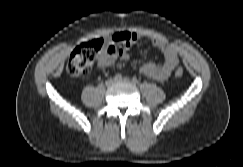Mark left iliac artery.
<instances>
[{"label":"left iliac artery","instance_id":"left-iliac-artery-1","mask_svg":"<svg viewBox=\"0 0 243 167\" xmlns=\"http://www.w3.org/2000/svg\"><path fill=\"white\" fill-rule=\"evenodd\" d=\"M132 82H133L134 84H137V83H138L137 78H136V77H133Z\"/></svg>","mask_w":243,"mask_h":167}]
</instances>
